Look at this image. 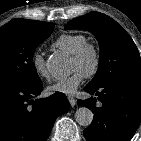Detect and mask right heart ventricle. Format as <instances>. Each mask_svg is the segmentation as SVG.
Instances as JSON below:
<instances>
[{
    "label": "right heart ventricle",
    "instance_id": "right-heart-ventricle-1",
    "mask_svg": "<svg viewBox=\"0 0 141 141\" xmlns=\"http://www.w3.org/2000/svg\"><path fill=\"white\" fill-rule=\"evenodd\" d=\"M87 41L83 34H63L58 37L53 46L66 53L73 54Z\"/></svg>",
    "mask_w": 141,
    "mask_h": 141
}]
</instances>
